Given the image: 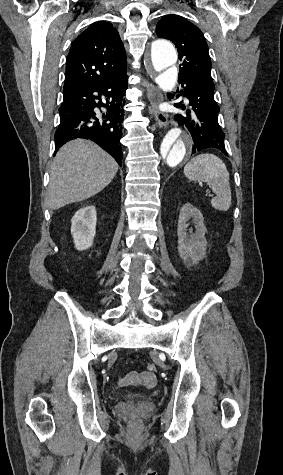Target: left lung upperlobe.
<instances>
[{"instance_id":"5c2ea615","label":"left lung upper lobe","mask_w":283,"mask_h":475,"mask_svg":"<svg viewBox=\"0 0 283 475\" xmlns=\"http://www.w3.org/2000/svg\"><path fill=\"white\" fill-rule=\"evenodd\" d=\"M156 33L159 38H166L175 43L182 66L181 78H195L213 83L211 77V60L208 45L201 30L179 15H169L158 21Z\"/></svg>"}]
</instances>
